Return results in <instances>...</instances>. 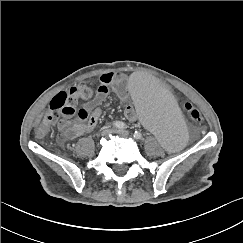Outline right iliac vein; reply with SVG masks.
Returning a JSON list of instances; mask_svg holds the SVG:
<instances>
[{"instance_id":"1","label":"right iliac vein","mask_w":243,"mask_h":243,"mask_svg":"<svg viewBox=\"0 0 243 243\" xmlns=\"http://www.w3.org/2000/svg\"><path fill=\"white\" fill-rule=\"evenodd\" d=\"M111 129L109 128H104L102 131H101V136H108L110 133H111Z\"/></svg>"}]
</instances>
